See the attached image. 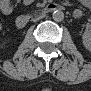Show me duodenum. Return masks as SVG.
Instances as JSON below:
<instances>
[{"label": "duodenum", "mask_w": 91, "mask_h": 91, "mask_svg": "<svg viewBox=\"0 0 91 91\" xmlns=\"http://www.w3.org/2000/svg\"><path fill=\"white\" fill-rule=\"evenodd\" d=\"M59 10H61V6L59 4H57V3H49L43 8L42 12L43 13H50V12L59 11ZM29 20H30V18H29L28 15H20V16H18L16 18V26H17V28L22 29V28L26 27L27 24L29 23Z\"/></svg>", "instance_id": "obj_1"}]
</instances>
